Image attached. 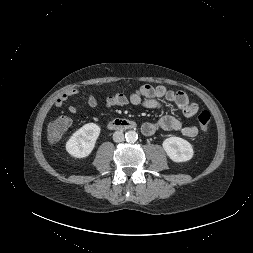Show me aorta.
<instances>
[{"label":"aorta","mask_w":253,"mask_h":253,"mask_svg":"<svg viewBox=\"0 0 253 253\" xmlns=\"http://www.w3.org/2000/svg\"><path fill=\"white\" fill-rule=\"evenodd\" d=\"M125 138L128 142H135L138 139V134L134 130H129L125 133Z\"/></svg>","instance_id":"obj_1"}]
</instances>
